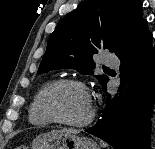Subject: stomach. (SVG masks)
<instances>
[{
    "instance_id": "obj_1",
    "label": "stomach",
    "mask_w": 155,
    "mask_h": 149,
    "mask_svg": "<svg viewBox=\"0 0 155 149\" xmlns=\"http://www.w3.org/2000/svg\"><path fill=\"white\" fill-rule=\"evenodd\" d=\"M31 149H100V147L90 138L52 131L38 135L32 141Z\"/></svg>"
}]
</instances>
